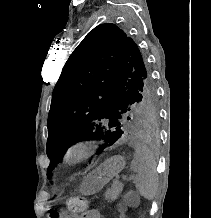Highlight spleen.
Wrapping results in <instances>:
<instances>
[{
    "label": "spleen",
    "mask_w": 211,
    "mask_h": 218,
    "mask_svg": "<svg viewBox=\"0 0 211 218\" xmlns=\"http://www.w3.org/2000/svg\"><path fill=\"white\" fill-rule=\"evenodd\" d=\"M132 170L136 172L134 176L136 190L146 200H154L158 190V176L156 162L149 150H136Z\"/></svg>",
    "instance_id": "spleen-1"
}]
</instances>
